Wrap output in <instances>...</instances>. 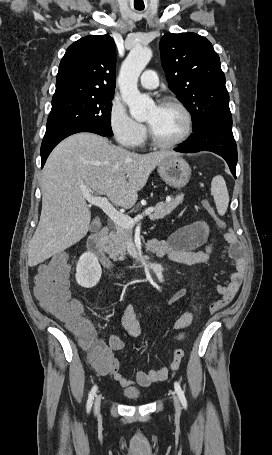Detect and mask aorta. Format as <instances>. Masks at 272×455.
I'll use <instances>...</instances> for the list:
<instances>
[{"label": "aorta", "instance_id": "obj_1", "mask_svg": "<svg viewBox=\"0 0 272 455\" xmlns=\"http://www.w3.org/2000/svg\"><path fill=\"white\" fill-rule=\"evenodd\" d=\"M151 57L150 48L134 47L123 62L118 77L122 99L129 107L131 116L138 121L144 120L155 107L154 101L141 94L137 87L138 78Z\"/></svg>", "mask_w": 272, "mask_h": 455}]
</instances>
